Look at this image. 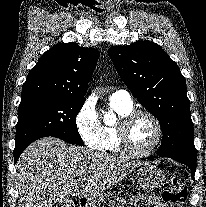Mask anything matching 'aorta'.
Returning a JSON list of instances; mask_svg holds the SVG:
<instances>
[{
  "mask_svg": "<svg viewBox=\"0 0 206 207\" xmlns=\"http://www.w3.org/2000/svg\"><path fill=\"white\" fill-rule=\"evenodd\" d=\"M114 121H115V116L114 115H109L105 119L106 123H113Z\"/></svg>",
  "mask_w": 206,
  "mask_h": 207,
  "instance_id": "obj_1",
  "label": "aorta"
}]
</instances>
